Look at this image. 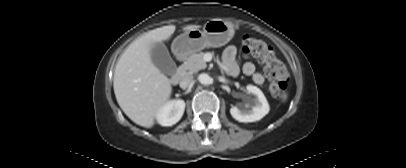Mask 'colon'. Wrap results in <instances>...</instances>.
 Listing matches in <instances>:
<instances>
[{"instance_id": "1", "label": "colon", "mask_w": 406, "mask_h": 168, "mask_svg": "<svg viewBox=\"0 0 406 168\" xmlns=\"http://www.w3.org/2000/svg\"><path fill=\"white\" fill-rule=\"evenodd\" d=\"M241 49L246 57L255 58L265 65L268 89L274 97H279L286 87L288 74L273 48L262 39L244 36Z\"/></svg>"}]
</instances>
